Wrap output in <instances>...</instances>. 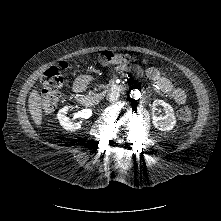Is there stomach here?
<instances>
[{"label": "stomach", "instance_id": "0dacf381", "mask_svg": "<svg viewBox=\"0 0 221 221\" xmlns=\"http://www.w3.org/2000/svg\"><path fill=\"white\" fill-rule=\"evenodd\" d=\"M95 72L100 74L101 73V69H96Z\"/></svg>", "mask_w": 221, "mask_h": 221}]
</instances>
